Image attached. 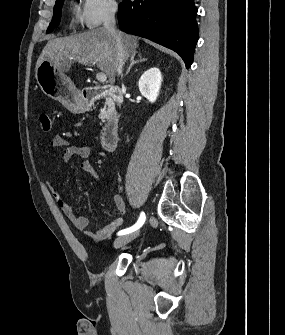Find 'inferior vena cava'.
Listing matches in <instances>:
<instances>
[{
	"mask_svg": "<svg viewBox=\"0 0 285 335\" xmlns=\"http://www.w3.org/2000/svg\"><path fill=\"white\" fill-rule=\"evenodd\" d=\"M117 12V4L115 0H107L106 2V14L104 18V28L108 30V32H111L113 36L116 38V52L117 56L115 58V66L117 72H121L123 68V60L126 58V52L123 48V44L121 42V34L119 30H116V20H115V14Z\"/></svg>",
	"mask_w": 285,
	"mask_h": 335,
	"instance_id": "inferior-vena-cava-1",
	"label": "inferior vena cava"
}]
</instances>
